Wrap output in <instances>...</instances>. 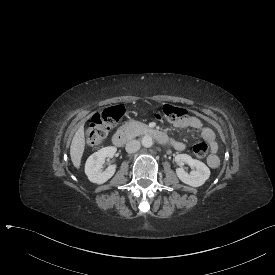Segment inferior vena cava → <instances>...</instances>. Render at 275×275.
Returning a JSON list of instances; mask_svg holds the SVG:
<instances>
[{
  "label": "inferior vena cava",
  "instance_id": "602c4592",
  "mask_svg": "<svg viewBox=\"0 0 275 275\" xmlns=\"http://www.w3.org/2000/svg\"><path fill=\"white\" fill-rule=\"evenodd\" d=\"M140 142L137 140H131L126 144V152L135 153L140 149Z\"/></svg>",
  "mask_w": 275,
  "mask_h": 275
}]
</instances>
